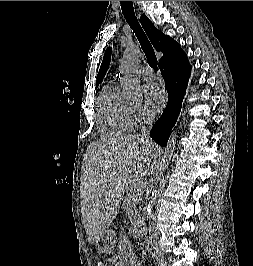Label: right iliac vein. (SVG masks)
Masks as SVG:
<instances>
[{
  "instance_id": "63e3f726",
  "label": "right iliac vein",
  "mask_w": 253,
  "mask_h": 266,
  "mask_svg": "<svg viewBox=\"0 0 253 266\" xmlns=\"http://www.w3.org/2000/svg\"><path fill=\"white\" fill-rule=\"evenodd\" d=\"M155 259L158 266H168L163 256H157Z\"/></svg>"
}]
</instances>
